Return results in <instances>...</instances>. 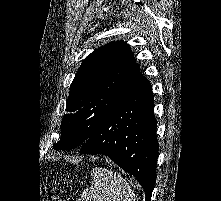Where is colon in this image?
<instances>
[{"label":"colon","mask_w":221,"mask_h":201,"mask_svg":"<svg viewBox=\"0 0 221 201\" xmlns=\"http://www.w3.org/2000/svg\"><path fill=\"white\" fill-rule=\"evenodd\" d=\"M43 196H44L46 201H61L52 192H50L48 189L43 190Z\"/></svg>","instance_id":"colon-1"}]
</instances>
